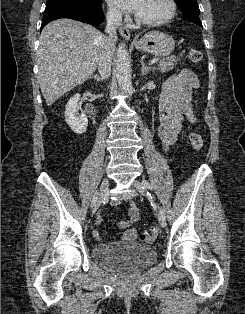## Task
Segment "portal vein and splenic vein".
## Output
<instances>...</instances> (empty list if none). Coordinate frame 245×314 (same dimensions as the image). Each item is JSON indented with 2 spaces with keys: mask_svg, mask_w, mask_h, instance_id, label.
Here are the masks:
<instances>
[{
  "mask_svg": "<svg viewBox=\"0 0 245 314\" xmlns=\"http://www.w3.org/2000/svg\"><path fill=\"white\" fill-rule=\"evenodd\" d=\"M158 60H159V59H157V58L152 59V60L150 61L149 65H152V64L156 63Z\"/></svg>",
  "mask_w": 245,
  "mask_h": 314,
  "instance_id": "1",
  "label": "portal vein and splenic vein"
}]
</instances>
